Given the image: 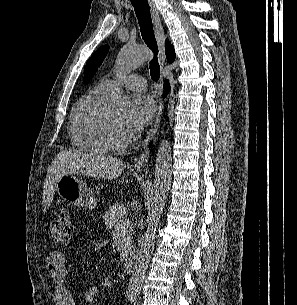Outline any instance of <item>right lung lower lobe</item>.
<instances>
[{"instance_id": "obj_1", "label": "right lung lower lobe", "mask_w": 297, "mask_h": 305, "mask_svg": "<svg viewBox=\"0 0 297 305\" xmlns=\"http://www.w3.org/2000/svg\"><path fill=\"white\" fill-rule=\"evenodd\" d=\"M164 88H165V92H168V90L170 89V85L168 81L165 82Z\"/></svg>"}]
</instances>
